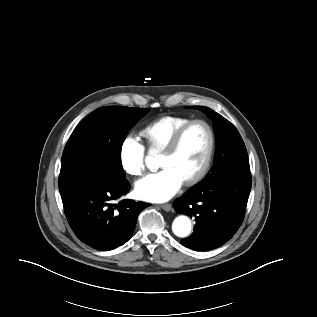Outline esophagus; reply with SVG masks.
<instances>
[{"label": "esophagus", "instance_id": "34e87169", "mask_svg": "<svg viewBox=\"0 0 317 317\" xmlns=\"http://www.w3.org/2000/svg\"><path fill=\"white\" fill-rule=\"evenodd\" d=\"M161 208L167 212L172 210V205L170 203L162 204Z\"/></svg>", "mask_w": 317, "mask_h": 317}]
</instances>
